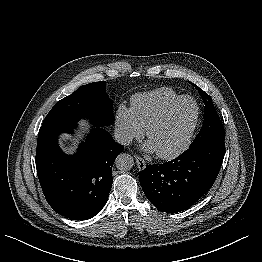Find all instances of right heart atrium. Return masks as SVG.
<instances>
[{
	"label": "right heart atrium",
	"instance_id": "obj_1",
	"mask_svg": "<svg viewBox=\"0 0 262 262\" xmlns=\"http://www.w3.org/2000/svg\"><path fill=\"white\" fill-rule=\"evenodd\" d=\"M115 134L117 139L124 145L140 139L144 134V129L135 119L131 109L124 105H120L116 111Z\"/></svg>",
	"mask_w": 262,
	"mask_h": 262
}]
</instances>
